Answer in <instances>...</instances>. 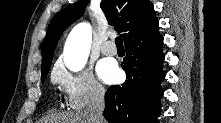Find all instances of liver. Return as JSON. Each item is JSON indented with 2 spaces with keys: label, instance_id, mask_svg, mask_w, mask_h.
<instances>
[{
  "label": "liver",
  "instance_id": "liver-1",
  "mask_svg": "<svg viewBox=\"0 0 221 123\" xmlns=\"http://www.w3.org/2000/svg\"><path fill=\"white\" fill-rule=\"evenodd\" d=\"M45 123H91L87 113L84 112H70L59 115H52L50 118L44 120Z\"/></svg>",
  "mask_w": 221,
  "mask_h": 123
}]
</instances>
